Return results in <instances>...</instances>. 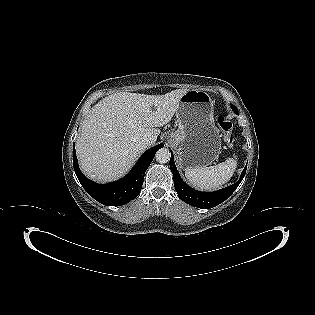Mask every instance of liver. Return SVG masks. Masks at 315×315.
Wrapping results in <instances>:
<instances>
[{
	"label": "liver",
	"mask_w": 315,
	"mask_h": 315,
	"mask_svg": "<svg viewBox=\"0 0 315 315\" xmlns=\"http://www.w3.org/2000/svg\"><path fill=\"white\" fill-rule=\"evenodd\" d=\"M187 91L177 89L164 95L119 92L95 104L76 142L83 173L97 182L122 177L148 147L142 138L149 135L157 140L158 127L171 121Z\"/></svg>",
	"instance_id": "liver-1"
}]
</instances>
